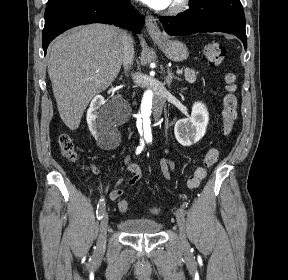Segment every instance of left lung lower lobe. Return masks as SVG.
I'll return each mask as SVG.
<instances>
[{
    "label": "left lung lower lobe",
    "mask_w": 288,
    "mask_h": 280,
    "mask_svg": "<svg viewBox=\"0 0 288 280\" xmlns=\"http://www.w3.org/2000/svg\"><path fill=\"white\" fill-rule=\"evenodd\" d=\"M159 20L169 35H187L196 32H225L237 36L247 48L245 22L231 14L208 7H190L175 17L161 16Z\"/></svg>",
    "instance_id": "obj_1"
}]
</instances>
